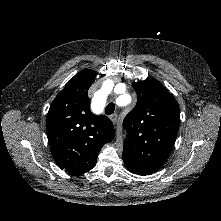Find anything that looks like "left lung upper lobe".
Returning a JSON list of instances; mask_svg holds the SVG:
<instances>
[{"instance_id":"left-lung-upper-lobe-1","label":"left lung upper lobe","mask_w":221,"mask_h":221,"mask_svg":"<svg viewBox=\"0 0 221 221\" xmlns=\"http://www.w3.org/2000/svg\"><path fill=\"white\" fill-rule=\"evenodd\" d=\"M137 103L124 119L128 136L123 148L126 168L138 175H150L166 161L180 123L175 98L154 79L132 84Z\"/></svg>"}]
</instances>
